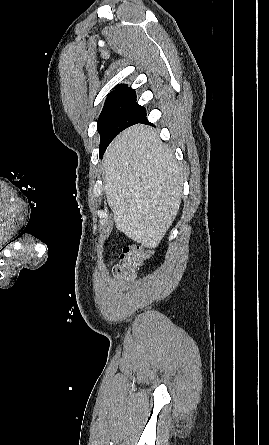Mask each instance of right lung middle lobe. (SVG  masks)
Returning a JSON list of instances; mask_svg holds the SVG:
<instances>
[{"label": "right lung middle lobe", "instance_id": "dd1d6c3e", "mask_svg": "<svg viewBox=\"0 0 269 445\" xmlns=\"http://www.w3.org/2000/svg\"><path fill=\"white\" fill-rule=\"evenodd\" d=\"M146 115L144 107L136 102L134 90L112 92L108 95L98 119L100 156L110 142L124 129L138 123Z\"/></svg>", "mask_w": 269, "mask_h": 445}]
</instances>
